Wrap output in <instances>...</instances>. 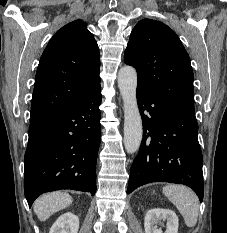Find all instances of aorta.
<instances>
[{
    "mask_svg": "<svg viewBox=\"0 0 227 233\" xmlns=\"http://www.w3.org/2000/svg\"><path fill=\"white\" fill-rule=\"evenodd\" d=\"M118 87L123 100L124 146L128 153H135L141 144L143 129L137 105V73L131 66H124L118 72Z\"/></svg>",
    "mask_w": 227,
    "mask_h": 233,
    "instance_id": "obj_1",
    "label": "aorta"
}]
</instances>
